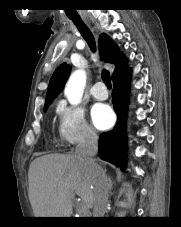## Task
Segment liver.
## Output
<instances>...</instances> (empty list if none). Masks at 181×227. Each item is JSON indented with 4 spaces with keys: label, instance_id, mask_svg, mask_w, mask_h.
I'll return each mask as SVG.
<instances>
[{
    "label": "liver",
    "instance_id": "6515ba94",
    "mask_svg": "<svg viewBox=\"0 0 181 227\" xmlns=\"http://www.w3.org/2000/svg\"><path fill=\"white\" fill-rule=\"evenodd\" d=\"M29 200L35 217H70L73 199L94 202V169L73 154H48L30 164Z\"/></svg>",
    "mask_w": 181,
    "mask_h": 227
}]
</instances>
